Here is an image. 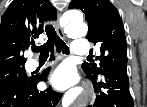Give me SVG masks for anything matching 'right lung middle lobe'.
Returning a JSON list of instances; mask_svg holds the SVG:
<instances>
[{"label": "right lung middle lobe", "mask_w": 147, "mask_h": 107, "mask_svg": "<svg viewBox=\"0 0 147 107\" xmlns=\"http://www.w3.org/2000/svg\"><path fill=\"white\" fill-rule=\"evenodd\" d=\"M27 80L28 76L24 65L0 69V90L17 83L26 82Z\"/></svg>", "instance_id": "right-lung-middle-lobe-1"}]
</instances>
